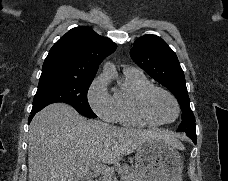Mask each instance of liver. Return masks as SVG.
I'll use <instances>...</instances> for the list:
<instances>
[{
  "mask_svg": "<svg viewBox=\"0 0 228 181\" xmlns=\"http://www.w3.org/2000/svg\"><path fill=\"white\" fill-rule=\"evenodd\" d=\"M156 137L184 149L174 133L87 121L70 105L53 103L37 113L29 125L28 179L82 181L89 167L119 163Z\"/></svg>",
  "mask_w": 228,
  "mask_h": 181,
  "instance_id": "1",
  "label": "liver"
}]
</instances>
